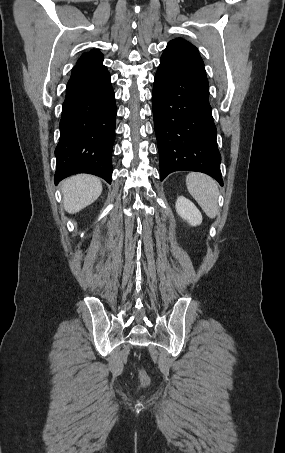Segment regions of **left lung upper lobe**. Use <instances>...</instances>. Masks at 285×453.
<instances>
[{
    "label": "left lung upper lobe",
    "instance_id": "1",
    "mask_svg": "<svg viewBox=\"0 0 285 453\" xmlns=\"http://www.w3.org/2000/svg\"><path fill=\"white\" fill-rule=\"evenodd\" d=\"M168 44L186 47L198 53V49L194 45L182 38L173 39Z\"/></svg>",
    "mask_w": 285,
    "mask_h": 453
}]
</instances>
